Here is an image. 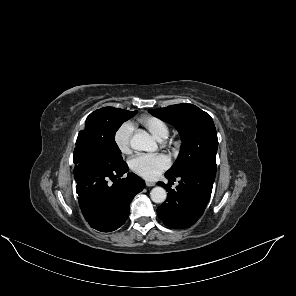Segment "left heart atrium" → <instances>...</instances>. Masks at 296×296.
Wrapping results in <instances>:
<instances>
[{
    "mask_svg": "<svg viewBox=\"0 0 296 296\" xmlns=\"http://www.w3.org/2000/svg\"><path fill=\"white\" fill-rule=\"evenodd\" d=\"M169 166L170 160L164 154H141L130 161L131 170L147 180L156 179Z\"/></svg>",
    "mask_w": 296,
    "mask_h": 296,
    "instance_id": "left-heart-atrium-1",
    "label": "left heart atrium"
}]
</instances>
